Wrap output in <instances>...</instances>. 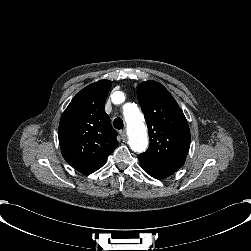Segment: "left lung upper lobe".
Instances as JSON below:
<instances>
[{"mask_svg": "<svg viewBox=\"0 0 251 251\" xmlns=\"http://www.w3.org/2000/svg\"><path fill=\"white\" fill-rule=\"evenodd\" d=\"M137 96L150 137L149 148L138 157L176 172L183 166L190 147V130L181 108L155 81L139 84Z\"/></svg>", "mask_w": 251, "mask_h": 251, "instance_id": "1", "label": "left lung upper lobe"}]
</instances>
